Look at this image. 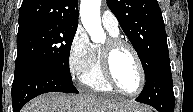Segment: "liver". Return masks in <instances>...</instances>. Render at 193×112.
Wrapping results in <instances>:
<instances>
[{"label":"liver","instance_id":"obj_1","mask_svg":"<svg viewBox=\"0 0 193 112\" xmlns=\"http://www.w3.org/2000/svg\"><path fill=\"white\" fill-rule=\"evenodd\" d=\"M139 103L90 94L65 95L51 92L27 103L21 112H127Z\"/></svg>","mask_w":193,"mask_h":112}]
</instances>
